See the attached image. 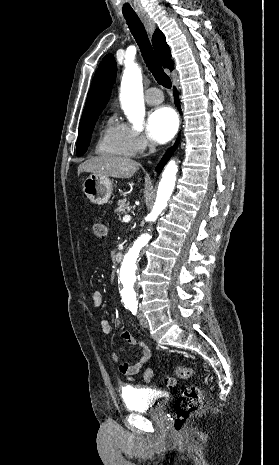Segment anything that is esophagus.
Listing matches in <instances>:
<instances>
[{
	"label": "esophagus",
	"instance_id": "esophagus-1",
	"mask_svg": "<svg viewBox=\"0 0 279 465\" xmlns=\"http://www.w3.org/2000/svg\"><path fill=\"white\" fill-rule=\"evenodd\" d=\"M139 18L141 19L147 31L151 35L155 30L154 21L147 14H139Z\"/></svg>",
	"mask_w": 279,
	"mask_h": 465
}]
</instances>
